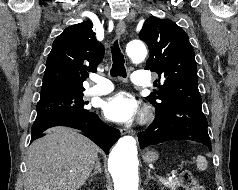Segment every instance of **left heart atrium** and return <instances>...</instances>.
I'll list each match as a JSON object with an SVG mask.
<instances>
[{
    "mask_svg": "<svg viewBox=\"0 0 238 190\" xmlns=\"http://www.w3.org/2000/svg\"><path fill=\"white\" fill-rule=\"evenodd\" d=\"M102 108L107 119L118 123L133 120L139 112L137 101L126 92H119L109 97Z\"/></svg>",
    "mask_w": 238,
    "mask_h": 190,
    "instance_id": "1",
    "label": "left heart atrium"
}]
</instances>
